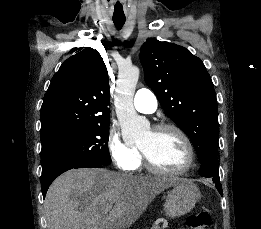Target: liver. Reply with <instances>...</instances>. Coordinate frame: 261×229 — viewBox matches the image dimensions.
I'll return each instance as SVG.
<instances>
[{
  "mask_svg": "<svg viewBox=\"0 0 261 229\" xmlns=\"http://www.w3.org/2000/svg\"><path fill=\"white\" fill-rule=\"evenodd\" d=\"M168 187H172L171 181L158 177L71 169L47 191V229H129L156 195Z\"/></svg>",
  "mask_w": 261,
  "mask_h": 229,
  "instance_id": "liver-1",
  "label": "liver"
}]
</instances>
